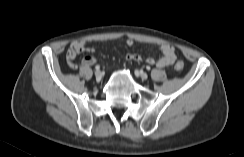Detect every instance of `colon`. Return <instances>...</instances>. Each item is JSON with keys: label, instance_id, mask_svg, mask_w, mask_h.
Wrapping results in <instances>:
<instances>
[{"label": "colon", "instance_id": "5ec220e1", "mask_svg": "<svg viewBox=\"0 0 244 157\" xmlns=\"http://www.w3.org/2000/svg\"><path fill=\"white\" fill-rule=\"evenodd\" d=\"M174 67L176 70H182L184 68V63L182 61H177Z\"/></svg>", "mask_w": 244, "mask_h": 157}]
</instances>
